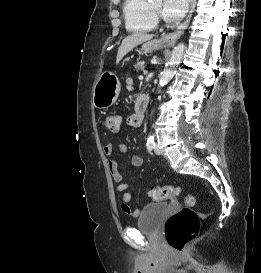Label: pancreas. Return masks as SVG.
Instances as JSON below:
<instances>
[{
	"label": "pancreas",
	"mask_w": 261,
	"mask_h": 273,
	"mask_svg": "<svg viewBox=\"0 0 261 273\" xmlns=\"http://www.w3.org/2000/svg\"><path fill=\"white\" fill-rule=\"evenodd\" d=\"M134 67L137 71L143 70L145 68V62L139 61L137 64L134 65Z\"/></svg>",
	"instance_id": "obj_1"
}]
</instances>
